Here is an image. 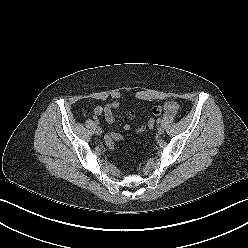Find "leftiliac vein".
<instances>
[{
    "mask_svg": "<svg viewBox=\"0 0 248 248\" xmlns=\"http://www.w3.org/2000/svg\"><path fill=\"white\" fill-rule=\"evenodd\" d=\"M157 132H158L159 135L163 134V133H164V128L161 127V126H159V127L157 128Z\"/></svg>",
    "mask_w": 248,
    "mask_h": 248,
    "instance_id": "1",
    "label": "left iliac vein"
}]
</instances>
